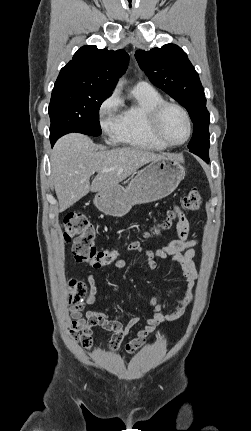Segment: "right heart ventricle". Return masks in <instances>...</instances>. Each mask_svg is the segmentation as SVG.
Returning a JSON list of instances; mask_svg holds the SVG:
<instances>
[{
	"mask_svg": "<svg viewBox=\"0 0 251 431\" xmlns=\"http://www.w3.org/2000/svg\"><path fill=\"white\" fill-rule=\"evenodd\" d=\"M134 102L126 106L119 114V121L114 133L118 142L126 145L162 151L166 146L152 135L149 128V113L151 109L163 100L161 94L154 88H136L132 90Z\"/></svg>",
	"mask_w": 251,
	"mask_h": 431,
	"instance_id": "e07e8e85",
	"label": "right heart ventricle"
}]
</instances>
